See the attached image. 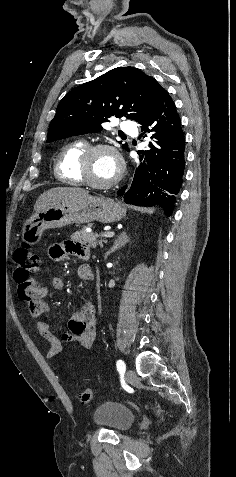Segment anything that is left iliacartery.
<instances>
[{"label":"left iliac artery","instance_id":"obj_1","mask_svg":"<svg viewBox=\"0 0 236 477\" xmlns=\"http://www.w3.org/2000/svg\"><path fill=\"white\" fill-rule=\"evenodd\" d=\"M116 366H117V370L120 372V373H124L125 370H126V365L124 363L123 360H118L117 363H116Z\"/></svg>","mask_w":236,"mask_h":477}]
</instances>
